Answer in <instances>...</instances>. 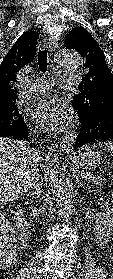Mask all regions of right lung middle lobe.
Instances as JSON below:
<instances>
[{"instance_id": "obj_1", "label": "right lung middle lobe", "mask_w": 113, "mask_h": 279, "mask_svg": "<svg viewBox=\"0 0 113 279\" xmlns=\"http://www.w3.org/2000/svg\"><path fill=\"white\" fill-rule=\"evenodd\" d=\"M26 124L16 103L0 108V131Z\"/></svg>"}]
</instances>
